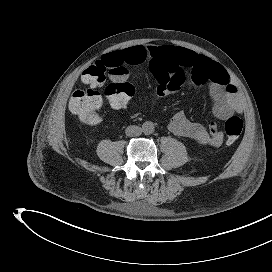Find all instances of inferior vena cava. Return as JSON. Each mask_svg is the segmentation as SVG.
Listing matches in <instances>:
<instances>
[{
	"label": "inferior vena cava",
	"mask_w": 272,
	"mask_h": 272,
	"mask_svg": "<svg viewBox=\"0 0 272 272\" xmlns=\"http://www.w3.org/2000/svg\"><path fill=\"white\" fill-rule=\"evenodd\" d=\"M127 136H139L142 133V128L135 125H130L125 130Z\"/></svg>",
	"instance_id": "obj_1"
}]
</instances>
